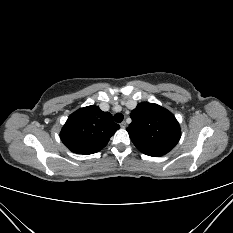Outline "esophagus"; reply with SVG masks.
<instances>
[{"label":"esophagus","mask_w":233,"mask_h":233,"mask_svg":"<svg viewBox=\"0 0 233 233\" xmlns=\"http://www.w3.org/2000/svg\"><path fill=\"white\" fill-rule=\"evenodd\" d=\"M120 127L123 128V129L126 128V122L125 121L121 122Z\"/></svg>","instance_id":"34e87169"}]
</instances>
